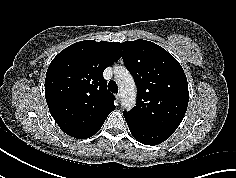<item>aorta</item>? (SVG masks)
<instances>
[{
	"instance_id": "762f6f07",
	"label": "aorta",
	"mask_w": 236,
	"mask_h": 178,
	"mask_svg": "<svg viewBox=\"0 0 236 178\" xmlns=\"http://www.w3.org/2000/svg\"><path fill=\"white\" fill-rule=\"evenodd\" d=\"M116 83L121 92V105L130 110L136 102V85L129 71L120 67L116 71Z\"/></svg>"
}]
</instances>
